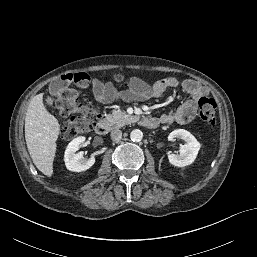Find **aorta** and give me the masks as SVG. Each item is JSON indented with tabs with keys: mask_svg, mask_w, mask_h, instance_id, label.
I'll list each match as a JSON object with an SVG mask.
<instances>
[{
	"mask_svg": "<svg viewBox=\"0 0 257 257\" xmlns=\"http://www.w3.org/2000/svg\"><path fill=\"white\" fill-rule=\"evenodd\" d=\"M130 138L133 142H140L143 138V133L139 129L132 130L130 133Z\"/></svg>",
	"mask_w": 257,
	"mask_h": 257,
	"instance_id": "aorta-1",
	"label": "aorta"
}]
</instances>
